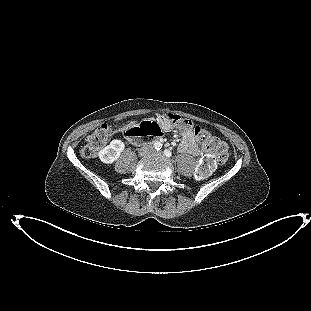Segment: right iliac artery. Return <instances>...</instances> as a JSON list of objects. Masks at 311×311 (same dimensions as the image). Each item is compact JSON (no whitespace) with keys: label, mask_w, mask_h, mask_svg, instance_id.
I'll list each match as a JSON object with an SVG mask.
<instances>
[{"label":"right iliac artery","mask_w":311,"mask_h":311,"mask_svg":"<svg viewBox=\"0 0 311 311\" xmlns=\"http://www.w3.org/2000/svg\"><path fill=\"white\" fill-rule=\"evenodd\" d=\"M154 148H155L156 150H160V149L162 148V144H161L160 142H155V143H154Z\"/></svg>","instance_id":"1"}]
</instances>
